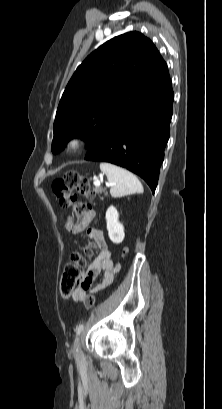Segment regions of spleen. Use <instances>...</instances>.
Masks as SVG:
<instances>
[{
  "label": "spleen",
  "instance_id": "spleen-1",
  "mask_svg": "<svg viewBox=\"0 0 222 409\" xmlns=\"http://www.w3.org/2000/svg\"><path fill=\"white\" fill-rule=\"evenodd\" d=\"M100 169L106 174L108 181L113 184L110 189L112 197L118 198L130 194L143 193L141 182L133 173L126 169L106 162L100 164Z\"/></svg>",
  "mask_w": 222,
  "mask_h": 409
}]
</instances>
